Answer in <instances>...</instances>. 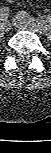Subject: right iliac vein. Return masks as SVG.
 <instances>
[{
  "label": "right iliac vein",
  "instance_id": "1",
  "mask_svg": "<svg viewBox=\"0 0 51 153\" xmlns=\"http://www.w3.org/2000/svg\"><path fill=\"white\" fill-rule=\"evenodd\" d=\"M12 28V25L10 22H8L7 20L3 21L1 23V29L4 30V31H10Z\"/></svg>",
  "mask_w": 51,
  "mask_h": 153
}]
</instances>
